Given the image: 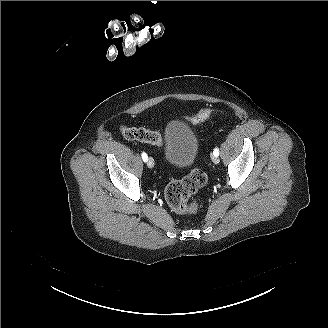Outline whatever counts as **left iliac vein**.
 <instances>
[{"label": "left iliac vein", "mask_w": 328, "mask_h": 328, "mask_svg": "<svg viewBox=\"0 0 328 328\" xmlns=\"http://www.w3.org/2000/svg\"><path fill=\"white\" fill-rule=\"evenodd\" d=\"M211 159H212L213 163H215V164H218L219 163V159H218L217 156L212 155Z\"/></svg>", "instance_id": "left-iliac-vein-1"}]
</instances>
